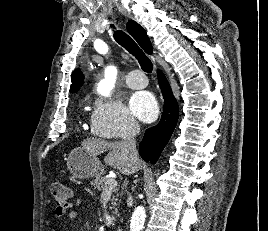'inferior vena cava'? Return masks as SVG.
Returning a JSON list of instances; mask_svg holds the SVG:
<instances>
[{"instance_id":"1","label":"inferior vena cava","mask_w":268,"mask_h":231,"mask_svg":"<svg viewBox=\"0 0 268 231\" xmlns=\"http://www.w3.org/2000/svg\"><path fill=\"white\" fill-rule=\"evenodd\" d=\"M140 132V127L138 123L132 122L128 128L127 135L123 141L124 147L126 148L129 158L132 162H137L138 152L136 149V140L135 136Z\"/></svg>"}]
</instances>
